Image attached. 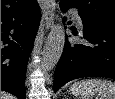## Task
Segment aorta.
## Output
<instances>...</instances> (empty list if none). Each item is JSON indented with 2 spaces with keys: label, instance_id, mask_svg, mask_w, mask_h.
<instances>
[{
  "label": "aorta",
  "instance_id": "obj_1",
  "mask_svg": "<svg viewBox=\"0 0 115 99\" xmlns=\"http://www.w3.org/2000/svg\"><path fill=\"white\" fill-rule=\"evenodd\" d=\"M49 2H53L49 0ZM65 45V33L62 25L55 24L46 41L42 54V69L47 72L52 70L58 63Z\"/></svg>",
  "mask_w": 115,
  "mask_h": 99
}]
</instances>
